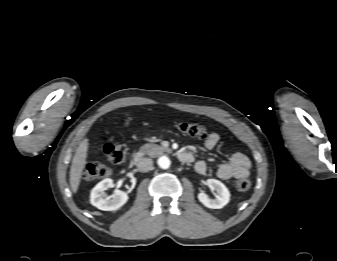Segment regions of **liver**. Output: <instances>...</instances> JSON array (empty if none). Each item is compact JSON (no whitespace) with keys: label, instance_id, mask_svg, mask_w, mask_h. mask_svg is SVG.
Returning <instances> with one entry per match:
<instances>
[{"label":"liver","instance_id":"obj_1","mask_svg":"<svg viewBox=\"0 0 337 261\" xmlns=\"http://www.w3.org/2000/svg\"><path fill=\"white\" fill-rule=\"evenodd\" d=\"M89 139L85 138L81 141L76 149L70 168V187L73 193H76L80 185L83 169L86 165Z\"/></svg>","mask_w":337,"mask_h":261}]
</instances>
